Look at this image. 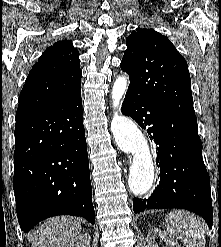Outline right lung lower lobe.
<instances>
[{
  "label": "right lung lower lobe",
  "instance_id": "right-lung-lower-lobe-1",
  "mask_svg": "<svg viewBox=\"0 0 221 247\" xmlns=\"http://www.w3.org/2000/svg\"><path fill=\"white\" fill-rule=\"evenodd\" d=\"M13 189L21 229L74 215L95 223L81 92L17 114Z\"/></svg>",
  "mask_w": 221,
  "mask_h": 247
}]
</instances>
